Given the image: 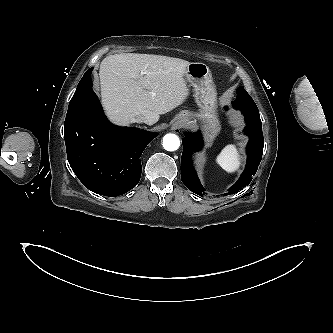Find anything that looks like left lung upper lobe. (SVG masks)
<instances>
[{
  "label": "left lung upper lobe",
  "instance_id": "1",
  "mask_svg": "<svg viewBox=\"0 0 333 333\" xmlns=\"http://www.w3.org/2000/svg\"><path fill=\"white\" fill-rule=\"evenodd\" d=\"M237 94H238V97H239V98H244V99H246V100H250V99H252V98L249 96V94L244 90L243 87H239V88L237 89Z\"/></svg>",
  "mask_w": 333,
  "mask_h": 333
}]
</instances>
